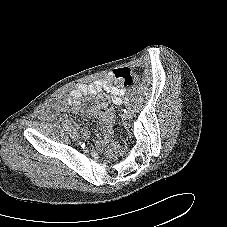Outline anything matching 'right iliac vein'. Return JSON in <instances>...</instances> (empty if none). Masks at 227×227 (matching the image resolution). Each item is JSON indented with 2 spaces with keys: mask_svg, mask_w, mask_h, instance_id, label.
I'll use <instances>...</instances> for the list:
<instances>
[{
  "mask_svg": "<svg viewBox=\"0 0 227 227\" xmlns=\"http://www.w3.org/2000/svg\"><path fill=\"white\" fill-rule=\"evenodd\" d=\"M70 136L74 140H78L79 139V135L76 132H74V131L70 133Z\"/></svg>",
  "mask_w": 227,
  "mask_h": 227,
  "instance_id": "63e3f726",
  "label": "right iliac vein"
}]
</instances>
